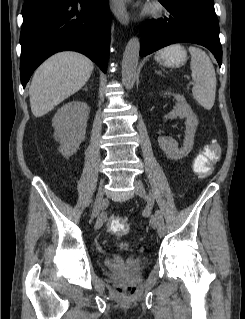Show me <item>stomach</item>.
<instances>
[{"mask_svg": "<svg viewBox=\"0 0 245 319\" xmlns=\"http://www.w3.org/2000/svg\"><path fill=\"white\" fill-rule=\"evenodd\" d=\"M155 59L166 67H180L186 62L187 53L181 45L175 44L159 51Z\"/></svg>", "mask_w": 245, "mask_h": 319, "instance_id": "0dacf381", "label": "stomach"}]
</instances>
